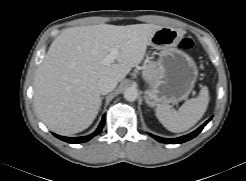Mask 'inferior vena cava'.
Returning a JSON list of instances; mask_svg holds the SVG:
<instances>
[{"instance_id":"602c4592","label":"inferior vena cava","mask_w":246,"mask_h":181,"mask_svg":"<svg viewBox=\"0 0 246 181\" xmlns=\"http://www.w3.org/2000/svg\"><path fill=\"white\" fill-rule=\"evenodd\" d=\"M117 81L110 76H102L98 83L97 88L101 94H107L115 89Z\"/></svg>"}]
</instances>
